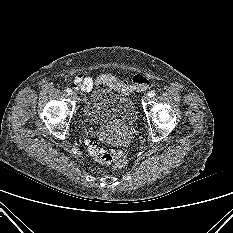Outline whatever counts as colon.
Wrapping results in <instances>:
<instances>
[{"instance_id": "5ec220e1", "label": "colon", "mask_w": 233, "mask_h": 233, "mask_svg": "<svg viewBox=\"0 0 233 233\" xmlns=\"http://www.w3.org/2000/svg\"><path fill=\"white\" fill-rule=\"evenodd\" d=\"M93 85L110 86L123 94L132 90H145L149 86V80L143 75H135L132 84L116 79L109 74H102L93 79ZM88 152L92 158L101 164H112L114 168H122L127 164L128 148L123 150H108L95 140L87 142Z\"/></svg>"}]
</instances>
